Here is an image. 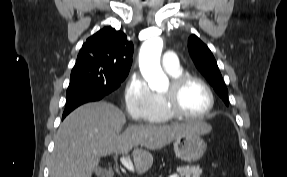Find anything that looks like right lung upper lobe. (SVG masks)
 I'll return each mask as SVG.
<instances>
[{
	"instance_id": "right-lung-upper-lobe-1",
	"label": "right lung upper lobe",
	"mask_w": 287,
	"mask_h": 177,
	"mask_svg": "<svg viewBox=\"0 0 287 177\" xmlns=\"http://www.w3.org/2000/svg\"><path fill=\"white\" fill-rule=\"evenodd\" d=\"M133 55V43L122 31L105 27L83 44L75 66L94 67L112 73L128 74Z\"/></svg>"
}]
</instances>
